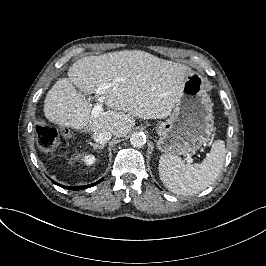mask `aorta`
Returning a JSON list of instances; mask_svg holds the SVG:
<instances>
[{"label": "aorta", "mask_w": 266, "mask_h": 266, "mask_svg": "<svg viewBox=\"0 0 266 266\" xmlns=\"http://www.w3.org/2000/svg\"><path fill=\"white\" fill-rule=\"evenodd\" d=\"M146 143V136L144 133H133L130 136V144L134 148H142Z\"/></svg>", "instance_id": "1"}]
</instances>
